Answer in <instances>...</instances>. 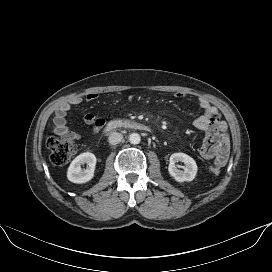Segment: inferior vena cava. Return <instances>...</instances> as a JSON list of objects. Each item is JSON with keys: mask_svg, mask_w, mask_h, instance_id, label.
Segmentation results:
<instances>
[{"mask_svg": "<svg viewBox=\"0 0 272 272\" xmlns=\"http://www.w3.org/2000/svg\"><path fill=\"white\" fill-rule=\"evenodd\" d=\"M108 139L111 145H116L121 142V140L123 139V136L121 133L113 132L110 134Z\"/></svg>", "mask_w": 272, "mask_h": 272, "instance_id": "1", "label": "inferior vena cava"}]
</instances>
